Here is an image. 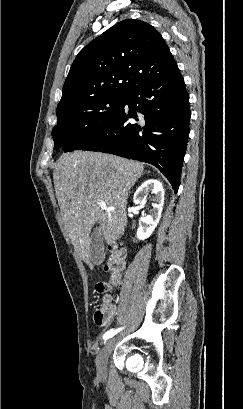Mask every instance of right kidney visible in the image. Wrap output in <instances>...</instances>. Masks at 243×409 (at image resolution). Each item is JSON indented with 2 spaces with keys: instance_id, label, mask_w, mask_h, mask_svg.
Segmentation results:
<instances>
[{
  "instance_id": "right-kidney-1",
  "label": "right kidney",
  "mask_w": 243,
  "mask_h": 409,
  "mask_svg": "<svg viewBox=\"0 0 243 409\" xmlns=\"http://www.w3.org/2000/svg\"><path fill=\"white\" fill-rule=\"evenodd\" d=\"M153 194L152 209L148 215L142 216L139 221L137 238L145 240L153 233L161 218L164 204V189L162 183L156 179H149L136 190L133 200L135 204H144L148 194Z\"/></svg>"
}]
</instances>
